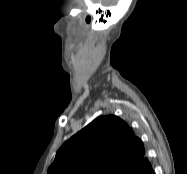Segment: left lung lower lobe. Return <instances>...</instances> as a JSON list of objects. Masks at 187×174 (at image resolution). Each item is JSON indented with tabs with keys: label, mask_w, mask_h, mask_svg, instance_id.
<instances>
[{
	"label": "left lung lower lobe",
	"mask_w": 187,
	"mask_h": 174,
	"mask_svg": "<svg viewBox=\"0 0 187 174\" xmlns=\"http://www.w3.org/2000/svg\"><path fill=\"white\" fill-rule=\"evenodd\" d=\"M132 174H155L151 165L149 167H145L142 173H137V169Z\"/></svg>",
	"instance_id": "left-lung-lower-lobe-1"
}]
</instances>
